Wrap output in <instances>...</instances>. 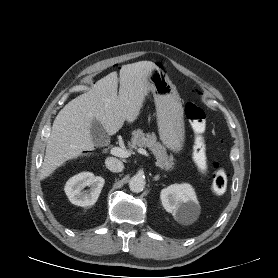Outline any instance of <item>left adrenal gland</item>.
Wrapping results in <instances>:
<instances>
[{"instance_id":"1","label":"left adrenal gland","mask_w":278,"mask_h":278,"mask_svg":"<svg viewBox=\"0 0 278 278\" xmlns=\"http://www.w3.org/2000/svg\"><path fill=\"white\" fill-rule=\"evenodd\" d=\"M160 179V175H156L153 180L158 181Z\"/></svg>"}]
</instances>
